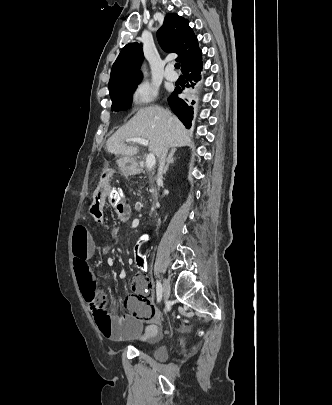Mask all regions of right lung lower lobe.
<instances>
[{"mask_svg": "<svg viewBox=\"0 0 332 405\" xmlns=\"http://www.w3.org/2000/svg\"><path fill=\"white\" fill-rule=\"evenodd\" d=\"M201 68H202V58L198 61L188 65L183 69V74L188 81L187 87H192L201 79ZM182 89L180 87L175 88V92L168 98L169 106L172 111L177 115V117L183 122V124L190 128L191 120L193 118V107L192 105L195 101L188 103L176 96V93H181Z\"/></svg>", "mask_w": 332, "mask_h": 405, "instance_id": "right-lung-lower-lobe-1", "label": "right lung lower lobe"}]
</instances>
